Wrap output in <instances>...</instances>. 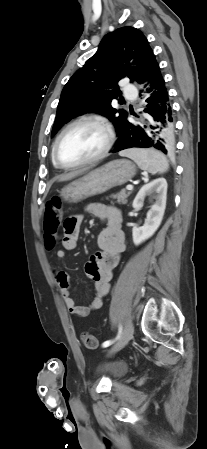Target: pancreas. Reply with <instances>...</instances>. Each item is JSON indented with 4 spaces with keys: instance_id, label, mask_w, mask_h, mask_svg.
Listing matches in <instances>:
<instances>
[{
    "instance_id": "cf45deb5",
    "label": "pancreas",
    "mask_w": 207,
    "mask_h": 449,
    "mask_svg": "<svg viewBox=\"0 0 207 449\" xmlns=\"http://www.w3.org/2000/svg\"><path fill=\"white\" fill-rule=\"evenodd\" d=\"M131 194V192H126L125 190H121L117 194L111 195L113 199H117L118 204H126L127 203V197Z\"/></svg>"
}]
</instances>
